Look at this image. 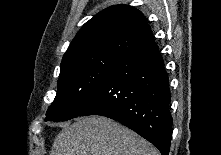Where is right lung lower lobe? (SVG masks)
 Wrapping results in <instances>:
<instances>
[{
  "label": "right lung lower lobe",
  "mask_w": 221,
  "mask_h": 155,
  "mask_svg": "<svg viewBox=\"0 0 221 155\" xmlns=\"http://www.w3.org/2000/svg\"><path fill=\"white\" fill-rule=\"evenodd\" d=\"M168 75L154 39L131 49L114 67L79 116L119 121L168 155L172 137Z\"/></svg>",
  "instance_id": "1"
}]
</instances>
